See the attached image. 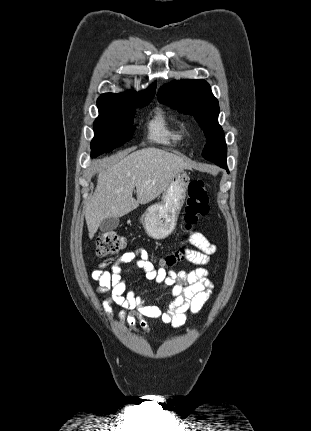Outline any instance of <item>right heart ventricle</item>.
Returning <instances> with one entry per match:
<instances>
[{
	"instance_id": "e07e8e85",
	"label": "right heart ventricle",
	"mask_w": 311,
	"mask_h": 431,
	"mask_svg": "<svg viewBox=\"0 0 311 431\" xmlns=\"http://www.w3.org/2000/svg\"><path fill=\"white\" fill-rule=\"evenodd\" d=\"M147 138L154 144L176 147L185 138V129L161 108L154 112L148 123Z\"/></svg>"
}]
</instances>
